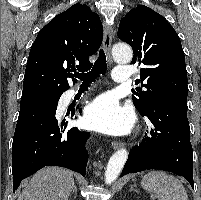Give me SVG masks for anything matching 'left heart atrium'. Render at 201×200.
I'll use <instances>...</instances> for the list:
<instances>
[{"instance_id": "39dd6f15", "label": "left heart atrium", "mask_w": 201, "mask_h": 200, "mask_svg": "<svg viewBox=\"0 0 201 200\" xmlns=\"http://www.w3.org/2000/svg\"><path fill=\"white\" fill-rule=\"evenodd\" d=\"M85 124L110 135L128 133L133 125L130 110L119 105L111 95H102L91 102L85 111Z\"/></svg>"}]
</instances>
